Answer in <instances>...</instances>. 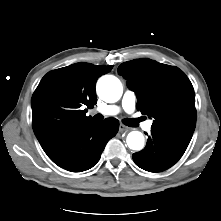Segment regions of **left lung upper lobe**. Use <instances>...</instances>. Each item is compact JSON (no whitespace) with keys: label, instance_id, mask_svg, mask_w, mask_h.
I'll use <instances>...</instances> for the list:
<instances>
[{"label":"left lung upper lobe","instance_id":"obj_1","mask_svg":"<svg viewBox=\"0 0 221 221\" xmlns=\"http://www.w3.org/2000/svg\"><path fill=\"white\" fill-rule=\"evenodd\" d=\"M118 73L137 94V109L154 119L151 130L189 144L195 126L193 86L179 68L147 58L122 63Z\"/></svg>","mask_w":221,"mask_h":221}]
</instances>
